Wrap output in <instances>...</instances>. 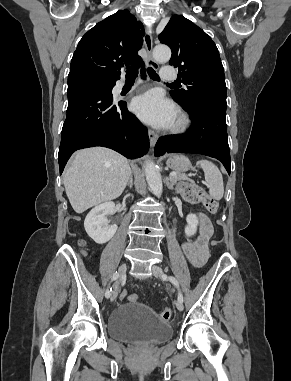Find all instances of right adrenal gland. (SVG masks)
<instances>
[{
  "label": "right adrenal gland",
  "instance_id": "obj_1",
  "mask_svg": "<svg viewBox=\"0 0 291 381\" xmlns=\"http://www.w3.org/2000/svg\"><path fill=\"white\" fill-rule=\"evenodd\" d=\"M127 185H128L130 188H132V186H133V175H132V172H131V174H130L129 181H128Z\"/></svg>",
  "mask_w": 291,
  "mask_h": 381
}]
</instances>
